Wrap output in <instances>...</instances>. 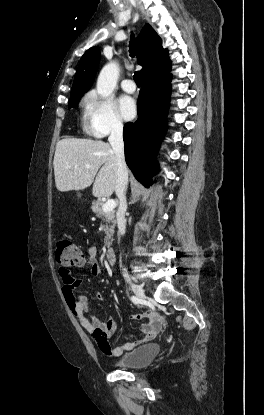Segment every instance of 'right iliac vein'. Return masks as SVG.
Wrapping results in <instances>:
<instances>
[{"instance_id":"63e3f726","label":"right iliac vein","mask_w":264,"mask_h":415,"mask_svg":"<svg viewBox=\"0 0 264 415\" xmlns=\"http://www.w3.org/2000/svg\"><path fill=\"white\" fill-rule=\"evenodd\" d=\"M130 285H131V288H132L133 292L135 293V295L139 299H141V300H146L147 299V297L145 295V292H144L143 288L140 285L135 284V283H130Z\"/></svg>"}]
</instances>
